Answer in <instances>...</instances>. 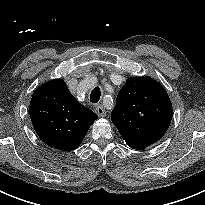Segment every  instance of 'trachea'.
Masks as SVG:
<instances>
[{
	"instance_id": "trachea-1",
	"label": "trachea",
	"mask_w": 205,
	"mask_h": 205,
	"mask_svg": "<svg viewBox=\"0 0 205 205\" xmlns=\"http://www.w3.org/2000/svg\"><path fill=\"white\" fill-rule=\"evenodd\" d=\"M101 90L99 87H95L90 94V101L97 103L100 100Z\"/></svg>"
}]
</instances>
